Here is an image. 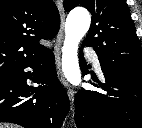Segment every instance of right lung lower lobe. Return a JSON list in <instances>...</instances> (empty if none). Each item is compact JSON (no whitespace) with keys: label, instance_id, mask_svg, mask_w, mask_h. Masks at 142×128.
Listing matches in <instances>:
<instances>
[{"label":"right lung lower lobe","instance_id":"right-lung-lower-lobe-1","mask_svg":"<svg viewBox=\"0 0 142 128\" xmlns=\"http://www.w3.org/2000/svg\"><path fill=\"white\" fill-rule=\"evenodd\" d=\"M28 67L36 72H25ZM27 79L39 86L29 87ZM69 110L70 102L57 78L54 54L49 49L0 81V122L26 128H60Z\"/></svg>","mask_w":142,"mask_h":128}]
</instances>
